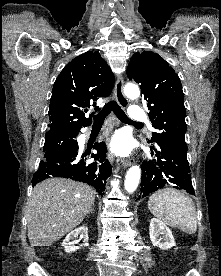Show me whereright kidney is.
Instances as JSON below:
<instances>
[{
  "mask_svg": "<svg viewBox=\"0 0 221 276\" xmlns=\"http://www.w3.org/2000/svg\"><path fill=\"white\" fill-rule=\"evenodd\" d=\"M80 237V239H83L84 246H88V228L85 226H81L73 231H71L64 239L62 246L64 247L65 252H75L79 247L74 246L72 242H70L71 239Z\"/></svg>",
  "mask_w": 221,
  "mask_h": 276,
  "instance_id": "1",
  "label": "right kidney"
}]
</instances>
